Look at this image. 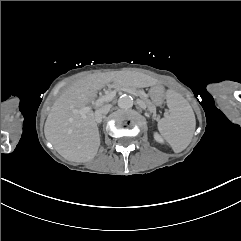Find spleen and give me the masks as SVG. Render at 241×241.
<instances>
[{
	"label": "spleen",
	"instance_id": "3e777b00",
	"mask_svg": "<svg viewBox=\"0 0 241 241\" xmlns=\"http://www.w3.org/2000/svg\"><path fill=\"white\" fill-rule=\"evenodd\" d=\"M170 115L158 121V129L173 151H183L195 131V115L185 97L170 89L167 92Z\"/></svg>",
	"mask_w": 241,
	"mask_h": 241
}]
</instances>
